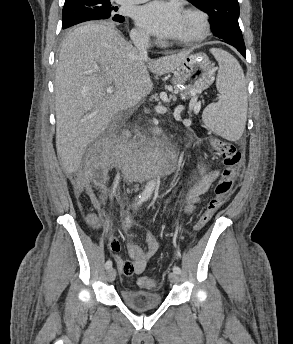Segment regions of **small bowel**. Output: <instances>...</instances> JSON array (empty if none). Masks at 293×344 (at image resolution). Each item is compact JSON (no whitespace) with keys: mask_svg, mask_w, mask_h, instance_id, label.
I'll use <instances>...</instances> for the list:
<instances>
[{"mask_svg":"<svg viewBox=\"0 0 293 344\" xmlns=\"http://www.w3.org/2000/svg\"><path fill=\"white\" fill-rule=\"evenodd\" d=\"M190 172L200 174V179L193 184L186 196V213H191L195 210L196 205L200 202L201 197L211 187L213 182L220 174L219 169L212 168L209 164L200 162L189 168ZM94 207L99 210L100 203L96 194L88 188ZM137 222L130 216H125L121 230L127 235V251L129 259H124L118 254L113 255V260L117 264L120 272L126 276L141 275L149 259H151L158 250V241L152 232H148L144 237V247L138 245L135 241V234L130 231L131 227ZM107 243L110 250L113 252L120 251L121 245L119 239L115 235L107 236Z\"/></svg>","mask_w":293,"mask_h":344,"instance_id":"1","label":"small bowel"}]
</instances>
